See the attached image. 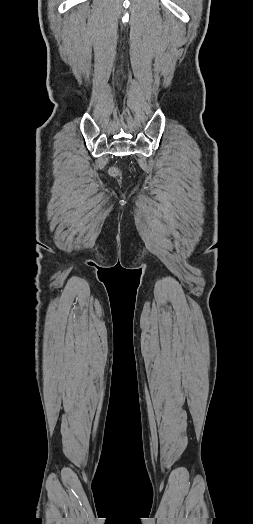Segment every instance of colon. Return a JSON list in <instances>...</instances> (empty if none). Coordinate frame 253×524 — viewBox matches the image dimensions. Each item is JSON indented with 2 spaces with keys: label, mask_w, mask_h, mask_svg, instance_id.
Masks as SVG:
<instances>
[{
  "label": "colon",
  "mask_w": 253,
  "mask_h": 524,
  "mask_svg": "<svg viewBox=\"0 0 253 524\" xmlns=\"http://www.w3.org/2000/svg\"><path fill=\"white\" fill-rule=\"evenodd\" d=\"M110 175H111L112 177H119V175H120V171H119V169L116 168V167L111 168V169H110Z\"/></svg>",
  "instance_id": "obj_1"
}]
</instances>
